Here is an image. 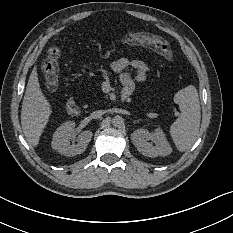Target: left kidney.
<instances>
[{
	"label": "left kidney",
	"mask_w": 233,
	"mask_h": 233,
	"mask_svg": "<svg viewBox=\"0 0 233 233\" xmlns=\"http://www.w3.org/2000/svg\"><path fill=\"white\" fill-rule=\"evenodd\" d=\"M131 139L139 152L147 157L168 156L173 150L162 126H157L152 133L145 129H137L131 134ZM148 139L153 140L154 145L147 142Z\"/></svg>",
	"instance_id": "5707ae66"
}]
</instances>
